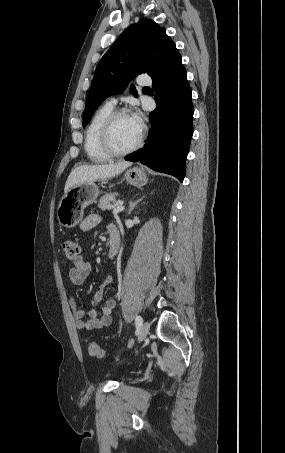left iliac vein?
I'll return each instance as SVG.
<instances>
[{
  "label": "left iliac vein",
  "mask_w": 285,
  "mask_h": 453,
  "mask_svg": "<svg viewBox=\"0 0 285 453\" xmlns=\"http://www.w3.org/2000/svg\"><path fill=\"white\" fill-rule=\"evenodd\" d=\"M149 328H150V324L147 321L141 325L138 341H142L145 339V337L147 336V334L149 332Z\"/></svg>",
  "instance_id": "left-iliac-vein-1"
}]
</instances>
